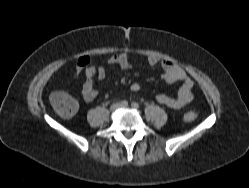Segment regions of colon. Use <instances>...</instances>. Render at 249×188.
I'll list each match as a JSON object with an SVG mask.
<instances>
[{
	"label": "colon",
	"instance_id": "colon-1",
	"mask_svg": "<svg viewBox=\"0 0 249 188\" xmlns=\"http://www.w3.org/2000/svg\"><path fill=\"white\" fill-rule=\"evenodd\" d=\"M49 100L54 110L64 118H70L77 112L78 103L76 99L65 90L58 89L52 92ZM196 118V111L188 110L184 113L182 119L184 123H192Z\"/></svg>",
	"mask_w": 249,
	"mask_h": 188
}]
</instances>
